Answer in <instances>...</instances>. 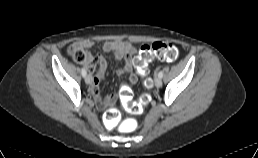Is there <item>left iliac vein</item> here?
Here are the masks:
<instances>
[{"label":"left iliac vein","mask_w":258,"mask_h":158,"mask_svg":"<svg viewBox=\"0 0 258 158\" xmlns=\"http://www.w3.org/2000/svg\"><path fill=\"white\" fill-rule=\"evenodd\" d=\"M155 86L156 87H161L162 86V80H161V78H159V77H157L156 79H155Z\"/></svg>","instance_id":"4c4485c4"}]
</instances>
